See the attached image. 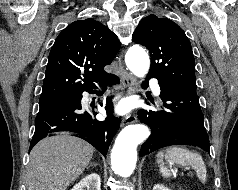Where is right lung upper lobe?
<instances>
[{
    "instance_id": "1",
    "label": "right lung upper lobe",
    "mask_w": 238,
    "mask_h": 190,
    "mask_svg": "<svg viewBox=\"0 0 238 190\" xmlns=\"http://www.w3.org/2000/svg\"><path fill=\"white\" fill-rule=\"evenodd\" d=\"M119 48L116 35L92 18L68 25L51 48L40 102L80 96L112 76L103 68Z\"/></svg>"
}]
</instances>
